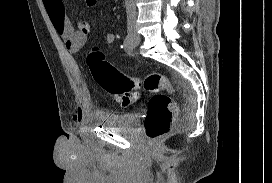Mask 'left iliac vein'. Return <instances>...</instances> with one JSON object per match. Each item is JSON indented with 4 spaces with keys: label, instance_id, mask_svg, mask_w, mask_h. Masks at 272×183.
Listing matches in <instances>:
<instances>
[{
    "label": "left iliac vein",
    "instance_id": "1",
    "mask_svg": "<svg viewBox=\"0 0 272 183\" xmlns=\"http://www.w3.org/2000/svg\"><path fill=\"white\" fill-rule=\"evenodd\" d=\"M139 41H140L139 36L135 34V35L133 36V40H132L133 46H134V47L137 46L138 43H139Z\"/></svg>",
    "mask_w": 272,
    "mask_h": 183
}]
</instances>
